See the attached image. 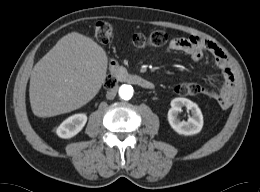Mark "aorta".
Masks as SVG:
<instances>
[{
	"mask_svg": "<svg viewBox=\"0 0 260 192\" xmlns=\"http://www.w3.org/2000/svg\"><path fill=\"white\" fill-rule=\"evenodd\" d=\"M133 87L131 85H127L124 84L122 86H120L119 88V96L123 99V100H130L133 96Z\"/></svg>",
	"mask_w": 260,
	"mask_h": 192,
	"instance_id": "762f6f07",
	"label": "aorta"
}]
</instances>
